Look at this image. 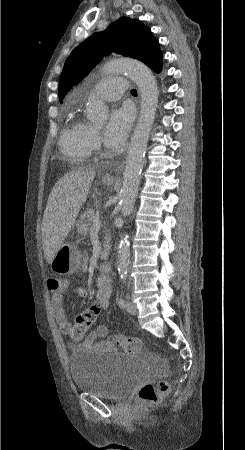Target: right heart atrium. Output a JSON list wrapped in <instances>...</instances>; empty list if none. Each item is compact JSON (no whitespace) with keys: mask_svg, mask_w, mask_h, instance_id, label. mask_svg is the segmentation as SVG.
<instances>
[{"mask_svg":"<svg viewBox=\"0 0 245 450\" xmlns=\"http://www.w3.org/2000/svg\"><path fill=\"white\" fill-rule=\"evenodd\" d=\"M91 145H92V150H97L100 146L99 137L94 131H93L92 138H91Z\"/></svg>","mask_w":245,"mask_h":450,"instance_id":"d8ad5b80","label":"right heart atrium"}]
</instances>
